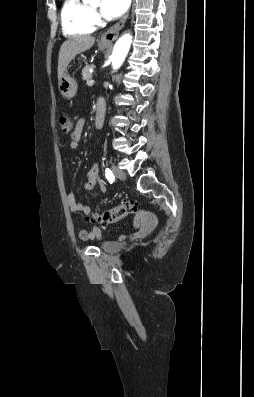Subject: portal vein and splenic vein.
I'll return each mask as SVG.
<instances>
[{"mask_svg": "<svg viewBox=\"0 0 254 397\" xmlns=\"http://www.w3.org/2000/svg\"><path fill=\"white\" fill-rule=\"evenodd\" d=\"M93 84H94V80H93V79H90V80L88 81V85L91 86V85H93Z\"/></svg>", "mask_w": 254, "mask_h": 397, "instance_id": "portal-vein-and-splenic-vein-1", "label": "portal vein and splenic vein"}]
</instances>
